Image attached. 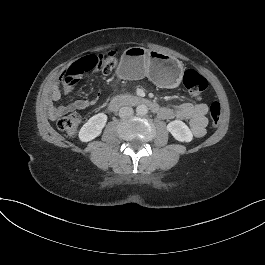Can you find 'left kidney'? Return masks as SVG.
Returning a JSON list of instances; mask_svg holds the SVG:
<instances>
[{
  "label": "left kidney",
  "instance_id": "5707ae66",
  "mask_svg": "<svg viewBox=\"0 0 265 265\" xmlns=\"http://www.w3.org/2000/svg\"><path fill=\"white\" fill-rule=\"evenodd\" d=\"M166 129L176 141L190 143L194 139L190 128L181 120H173L169 122Z\"/></svg>",
  "mask_w": 265,
  "mask_h": 265
}]
</instances>
